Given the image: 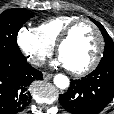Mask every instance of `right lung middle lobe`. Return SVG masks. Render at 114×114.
Returning a JSON list of instances; mask_svg holds the SVG:
<instances>
[{"mask_svg": "<svg viewBox=\"0 0 114 114\" xmlns=\"http://www.w3.org/2000/svg\"><path fill=\"white\" fill-rule=\"evenodd\" d=\"M31 17L25 9H9L0 14V56L23 57L16 39L22 25Z\"/></svg>", "mask_w": 114, "mask_h": 114, "instance_id": "obj_1", "label": "right lung middle lobe"}]
</instances>
